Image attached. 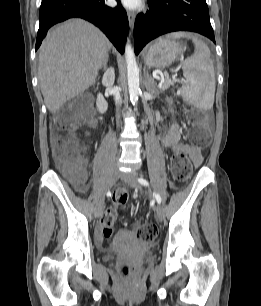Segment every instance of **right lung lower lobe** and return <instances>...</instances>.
I'll use <instances>...</instances> for the list:
<instances>
[{"label": "right lung lower lobe", "instance_id": "98d812e1", "mask_svg": "<svg viewBox=\"0 0 261 306\" xmlns=\"http://www.w3.org/2000/svg\"><path fill=\"white\" fill-rule=\"evenodd\" d=\"M105 0H42L40 6V25L37 34V50L54 24L71 17H80L99 27L120 53L124 52L129 23L125 10L116 0L115 8L108 7Z\"/></svg>", "mask_w": 261, "mask_h": 306}]
</instances>
